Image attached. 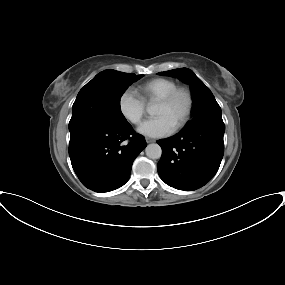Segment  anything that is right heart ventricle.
Returning <instances> with one entry per match:
<instances>
[{
  "label": "right heart ventricle",
  "mask_w": 285,
  "mask_h": 285,
  "mask_svg": "<svg viewBox=\"0 0 285 285\" xmlns=\"http://www.w3.org/2000/svg\"><path fill=\"white\" fill-rule=\"evenodd\" d=\"M177 86V82L173 79L158 77L140 85L138 93L140 98L149 104L157 102Z\"/></svg>",
  "instance_id": "1"
}]
</instances>
